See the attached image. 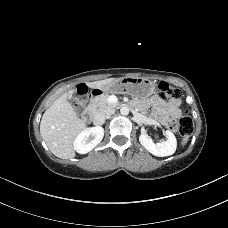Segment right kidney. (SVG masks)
Here are the masks:
<instances>
[{"instance_id":"1","label":"right kidney","mask_w":228,"mask_h":228,"mask_svg":"<svg viewBox=\"0 0 228 228\" xmlns=\"http://www.w3.org/2000/svg\"><path fill=\"white\" fill-rule=\"evenodd\" d=\"M104 137V129L101 126L84 129L74 140V149L80 154L90 152Z\"/></svg>"}]
</instances>
